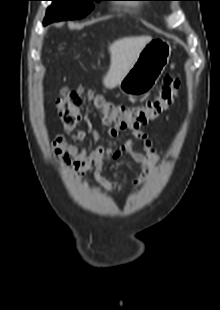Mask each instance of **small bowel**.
<instances>
[{"label":"small bowel","mask_w":220,"mask_h":310,"mask_svg":"<svg viewBox=\"0 0 220 310\" xmlns=\"http://www.w3.org/2000/svg\"><path fill=\"white\" fill-rule=\"evenodd\" d=\"M118 130L113 127L106 129L109 137H116ZM91 135L95 142H100L99 134L96 130H79L70 137L57 135L53 141V155L63 165L69 168L71 174L77 177L79 181L83 179L87 172L93 171L95 179L108 189H121L125 186L126 181L121 183L109 182L103 175V163L105 161H116L123 155H129L135 162L142 165L145 176L157 172L160 168V152L153 146V142L148 138L146 133L140 130H133L134 139L141 142L143 152L133 147V140L128 139L118 147L106 146L99 143L94 149L88 152L85 148H79L72 142L84 144L88 136ZM141 179L135 181L139 185Z\"/></svg>","instance_id":"obj_1"}]
</instances>
